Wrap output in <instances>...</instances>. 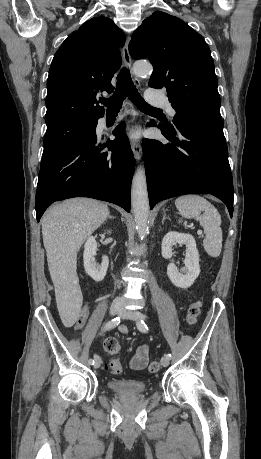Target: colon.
I'll return each mask as SVG.
<instances>
[{
  "instance_id": "obj_1",
  "label": "colon",
  "mask_w": 261,
  "mask_h": 459,
  "mask_svg": "<svg viewBox=\"0 0 261 459\" xmlns=\"http://www.w3.org/2000/svg\"><path fill=\"white\" fill-rule=\"evenodd\" d=\"M202 307L201 301L192 302L187 310L186 321L190 325L196 324ZM85 319L81 316L78 319L77 326L81 327L84 324ZM104 349L111 355H117L120 352L121 346L116 338L109 337L104 341ZM107 369L113 374H119L122 371V366L118 359L111 360L107 364ZM151 373H156L160 369V364L157 361H153L148 367Z\"/></svg>"
}]
</instances>
